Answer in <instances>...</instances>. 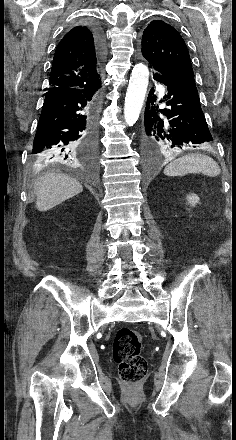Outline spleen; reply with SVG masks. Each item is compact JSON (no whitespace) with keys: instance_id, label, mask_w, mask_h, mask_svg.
<instances>
[{"instance_id":"spleen-1","label":"spleen","mask_w":236,"mask_h":440,"mask_svg":"<svg viewBox=\"0 0 236 440\" xmlns=\"http://www.w3.org/2000/svg\"><path fill=\"white\" fill-rule=\"evenodd\" d=\"M189 173H203L210 177L220 175L218 163L209 156L199 153L188 154L169 163L164 174L167 176H184Z\"/></svg>"}]
</instances>
